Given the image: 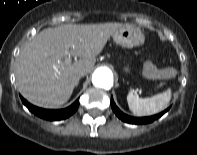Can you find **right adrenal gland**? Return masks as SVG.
I'll return each mask as SVG.
<instances>
[{
    "instance_id": "right-adrenal-gland-1",
    "label": "right adrenal gland",
    "mask_w": 197,
    "mask_h": 155,
    "mask_svg": "<svg viewBox=\"0 0 197 155\" xmlns=\"http://www.w3.org/2000/svg\"><path fill=\"white\" fill-rule=\"evenodd\" d=\"M79 81L76 83V87L78 86Z\"/></svg>"
}]
</instances>
